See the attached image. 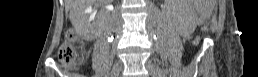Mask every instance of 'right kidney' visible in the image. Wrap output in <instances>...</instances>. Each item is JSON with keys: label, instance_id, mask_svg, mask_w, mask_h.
<instances>
[{"label": "right kidney", "instance_id": "right-kidney-1", "mask_svg": "<svg viewBox=\"0 0 258 77\" xmlns=\"http://www.w3.org/2000/svg\"><path fill=\"white\" fill-rule=\"evenodd\" d=\"M94 2H96V1H94ZM91 5H88V6H91ZM88 6L84 8L85 19H81L80 16L78 15V11L73 10V15H74L73 25H74L75 29L78 31V33L80 34V36L86 40H89L93 34V30H92V27L90 24L92 17H89Z\"/></svg>", "mask_w": 258, "mask_h": 77}]
</instances>
